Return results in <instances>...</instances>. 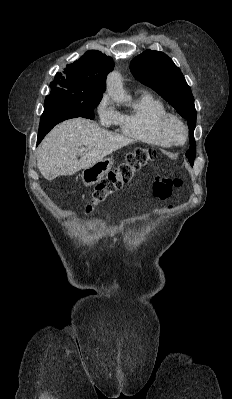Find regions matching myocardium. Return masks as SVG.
Returning <instances> with one entry per match:
<instances>
[{
	"label": "myocardium",
	"mask_w": 232,
	"mask_h": 399,
	"mask_svg": "<svg viewBox=\"0 0 232 399\" xmlns=\"http://www.w3.org/2000/svg\"><path fill=\"white\" fill-rule=\"evenodd\" d=\"M170 121L177 122L183 128L184 133H185V138L182 142L176 141L169 133L168 123ZM157 128H158V131L173 145H182V144L186 143L188 140V136H189L188 127H187L186 123L175 113L165 112L164 114H162L157 120Z\"/></svg>",
	"instance_id": "1"
}]
</instances>
